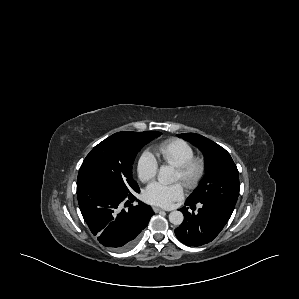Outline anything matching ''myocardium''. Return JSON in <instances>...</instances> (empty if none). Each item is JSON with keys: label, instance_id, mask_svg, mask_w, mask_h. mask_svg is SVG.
<instances>
[{"label": "myocardium", "instance_id": "obj_1", "mask_svg": "<svg viewBox=\"0 0 299 299\" xmlns=\"http://www.w3.org/2000/svg\"><path fill=\"white\" fill-rule=\"evenodd\" d=\"M180 180L188 188L196 187L205 173V162L200 157L193 156L183 164L176 167Z\"/></svg>", "mask_w": 299, "mask_h": 299}]
</instances>
